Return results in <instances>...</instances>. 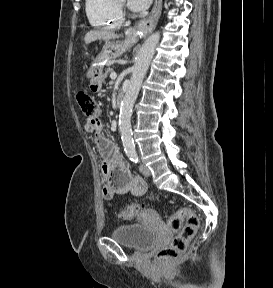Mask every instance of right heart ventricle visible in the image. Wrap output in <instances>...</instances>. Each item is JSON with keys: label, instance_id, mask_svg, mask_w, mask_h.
Listing matches in <instances>:
<instances>
[{"label": "right heart ventricle", "instance_id": "1", "mask_svg": "<svg viewBox=\"0 0 273 288\" xmlns=\"http://www.w3.org/2000/svg\"><path fill=\"white\" fill-rule=\"evenodd\" d=\"M86 14L92 26L101 29H118L123 16L118 0H86Z\"/></svg>", "mask_w": 273, "mask_h": 288}]
</instances>
